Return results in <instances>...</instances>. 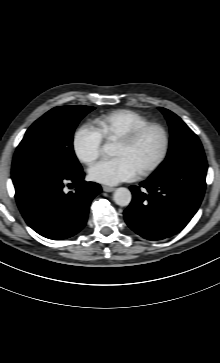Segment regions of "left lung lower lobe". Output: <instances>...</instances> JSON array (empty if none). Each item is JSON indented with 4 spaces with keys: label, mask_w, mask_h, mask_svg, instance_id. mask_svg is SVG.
Segmentation results:
<instances>
[{
    "label": "left lung lower lobe",
    "mask_w": 220,
    "mask_h": 363,
    "mask_svg": "<svg viewBox=\"0 0 220 363\" xmlns=\"http://www.w3.org/2000/svg\"><path fill=\"white\" fill-rule=\"evenodd\" d=\"M205 158H187L131 186L133 200L124 211L127 225L148 240L181 231L197 212L205 191Z\"/></svg>",
    "instance_id": "obj_1"
}]
</instances>
